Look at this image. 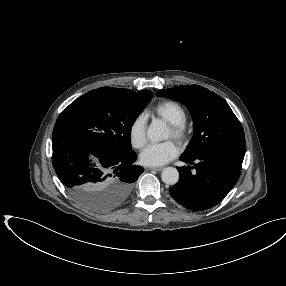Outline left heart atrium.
<instances>
[{
  "label": "left heart atrium",
  "mask_w": 286,
  "mask_h": 286,
  "mask_svg": "<svg viewBox=\"0 0 286 286\" xmlns=\"http://www.w3.org/2000/svg\"><path fill=\"white\" fill-rule=\"evenodd\" d=\"M179 153L178 145L169 140L147 145L140 154V161L147 166H160L174 159Z\"/></svg>",
  "instance_id": "39dd6f15"
}]
</instances>
